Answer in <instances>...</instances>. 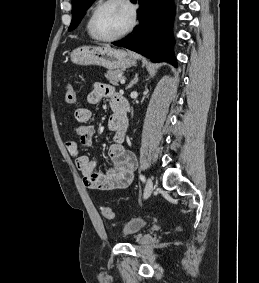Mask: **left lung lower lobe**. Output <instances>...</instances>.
Listing matches in <instances>:
<instances>
[{
	"instance_id": "0a47b994",
	"label": "left lung lower lobe",
	"mask_w": 259,
	"mask_h": 283,
	"mask_svg": "<svg viewBox=\"0 0 259 283\" xmlns=\"http://www.w3.org/2000/svg\"><path fill=\"white\" fill-rule=\"evenodd\" d=\"M137 1V0H133ZM139 26L126 39L113 43L140 53L154 61H168L175 67L173 56L172 25L174 7L172 0H138Z\"/></svg>"
}]
</instances>
